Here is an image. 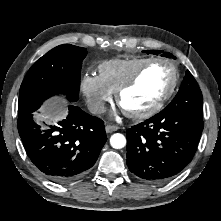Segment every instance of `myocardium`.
I'll return each instance as SVG.
<instances>
[{"label": "myocardium", "mask_w": 221, "mask_h": 221, "mask_svg": "<svg viewBox=\"0 0 221 221\" xmlns=\"http://www.w3.org/2000/svg\"><path fill=\"white\" fill-rule=\"evenodd\" d=\"M163 63L168 65L172 70V79L166 91L153 103L149 108L140 112H132L124 109L121 104L123 94L130 89L140 78L141 74L152 64ZM179 81V71L176 65L168 59L164 58H150L144 62L126 81H124L116 90V102L124 113L135 120H144L157 114L171 98L176 90Z\"/></svg>", "instance_id": "myocardium-1"}]
</instances>
